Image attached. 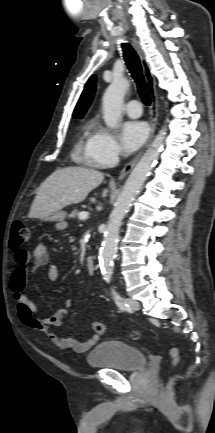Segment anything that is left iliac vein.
I'll use <instances>...</instances> for the list:
<instances>
[{
    "label": "left iliac vein",
    "instance_id": "1",
    "mask_svg": "<svg viewBox=\"0 0 215 433\" xmlns=\"http://www.w3.org/2000/svg\"><path fill=\"white\" fill-rule=\"evenodd\" d=\"M126 302L129 304L132 310L138 311L140 309V304L137 300L133 298H127Z\"/></svg>",
    "mask_w": 215,
    "mask_h": 433
}]
</instances>
